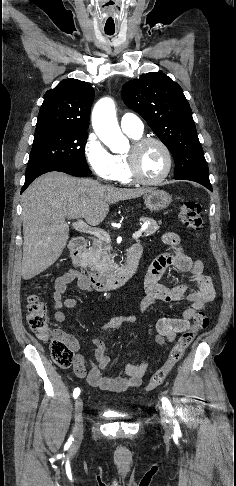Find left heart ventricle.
I'll list each match as a JSON object with an SVG mask.
<instances>
[{
  "instance_id": "b2bd125f",
  "label": "left heart ventricle",
  "mask_w": 236,
  "mask_h": 486,
  "mask_svg": "<svg viewBox=\"0 0 236 486\" xmlns=\"http://www.w3.org/2000/svg\"><path fill=\"white\" fill-rule=\"evenodd\" d=\"M138 167L144 178H158L166 167V159L162 149L154 143L143 147L138 153Z\"/></svg>"
}]
</instances>
